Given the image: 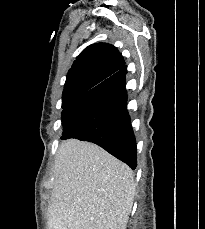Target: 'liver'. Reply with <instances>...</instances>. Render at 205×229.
Instances as JSON below:
<instances>
[{
  "instance_id": "liver-1",
  "label": "liver",
  "mask_w": 205,
  "mask_h": 229,
  "mask_svg": "<svg viewBox=\"0 0 205 229\" xmlns=\"http://www.w3.org/2000/svg\"><path fill=\"white\" fill-rule=\"evenodd\" d=\"M48 205L49 229H126L135 196L132 170L99 146L61 143Z\"/></svg>"
}]
</instances>
